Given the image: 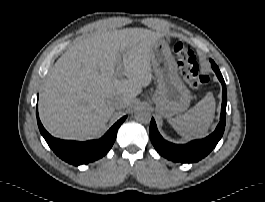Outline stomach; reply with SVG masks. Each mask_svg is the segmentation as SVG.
I'll return each mask as SVG.
<instances>
[{"mask_svg":"<svg viewBox=\"0 0 265 202\" xmlns=\"http://www.w3.org/2000/svg\"><path fill=\"white\" fill-rule=\"evenodd\" d=\"M150 61L158 82L153 96L157 113L170 119L187 110L191 100L190 91L179 78L177 63L165 40L158 39L152 44Z\"/></svg>","mask_w":265,"mask_h":202,"instance_id":"stomach-1","label":"stomach"}]
</instances>
